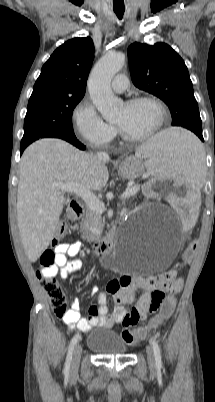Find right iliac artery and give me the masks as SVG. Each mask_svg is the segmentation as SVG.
<instances>
[{"mask_svg": "<svg viewBox=\"0 0 215 402\" xmlns=\"http://www.w3.org/2000/svg\"><path fill=\"white\" fill-rule=\"evenodd\" d=\"M79 338H80V335L76 334L70 342L68 353H67V358H66V362H65V367H64V371H63L65 376L69 375L73 350H74V347H75L76 343L78 342Z\"/></svg>", "mask_w": 215, "mask_h": 402, "instance_id": "obj_1", "label": "right iliac artery"}]
</instances>
